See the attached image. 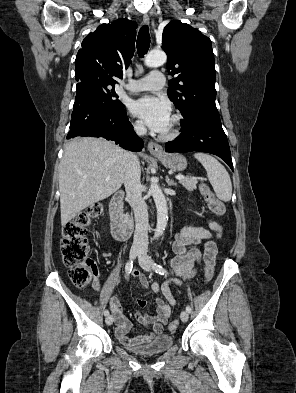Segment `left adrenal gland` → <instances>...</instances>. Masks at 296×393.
Wrapping results in <instances>:
<instances>
[{
  "mask_svg": "<svg viewBox=\"0 0 296 393\" xmlns=\"http://www.w3.org/2000/svg\"><path fill=\"white\" fill-rule=\"evenodd\" d=\"M166 183L168 186H177V183H175L173 180H170L168 176H166Z\"/></svg>",
  "mask_w": 296,
  "mask_h": 393,
  "instance_id": "a2214340",
  "label": "left adrenal gland"
}]
</instances>
